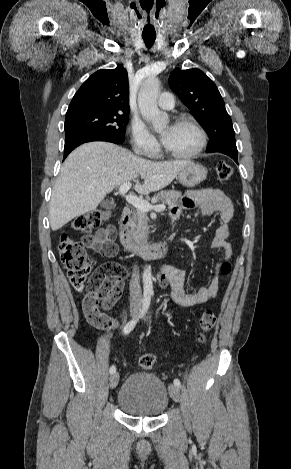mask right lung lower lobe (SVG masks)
Segmentation results:
<instances>
[{"mask_svg": "<svg viewBox=\"0 0 291 469\" xmlns=\"http://www.w3.org/2000/svg\"><path fill=\"white\" fill-rule=\"evenodd\" d=\"M91 141H107L115 144H122L124 142V136L117 135H105V134H73L66 136L64 146V159L68 154L75 149L77 146Z\"/></svg>", "mask_w": 291, "mask_h": 469, "instance_id": "obj_1", "label": "right lung lower lobe"}]
</instances>
